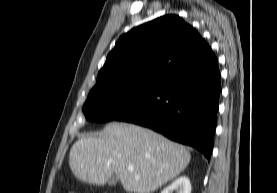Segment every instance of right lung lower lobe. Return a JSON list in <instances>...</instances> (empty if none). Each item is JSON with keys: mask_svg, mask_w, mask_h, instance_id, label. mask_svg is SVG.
<instances>
[{"mask_svg": "<svg viewBox=\"0 0 277 193\" xmlns=\"http://www.w3.org/2000/svg\"><path fill=\"white\" fill-rule=\"evenodd\" d=\"M220 92V71L213 53L200 65L168 79L119 120L151 128L194 147L209 160Z\"/></svg>", "mask_w": 277, "mask_h": 193, "instance_id": "98d812e1", "label": "right lung lower lobe"}]
</instances>
